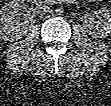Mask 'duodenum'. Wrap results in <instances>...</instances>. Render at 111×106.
I'll return each instance as SVG.
<instances>
[{"instance_id": "410a0bca", "label": "duodenum", "mask_w": 111, "mask_h": 106, "mask_svg": "<svg viewBox=\"0 0 111 106\" xmlns=\"http://www.w3.org/2000/svg\"><path fill=\"white\" fill-rule=\"evenodd\" d=\"M71 0H62V2H70Z\"/></svg>"}]
</instances>
